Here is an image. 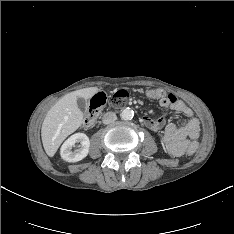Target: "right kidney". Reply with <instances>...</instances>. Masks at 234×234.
<instances>
[{
  "instance_id": "1",
  "label": "right kidney",
  "mask_w": 234,
  "mask_h": 234,
  "mask_svg": "<svg viewBox=\"0 0 234 234\" xmlns=\"http://www.w3.org/2000/svg\"><path fill=\"white\" fill-rule=\"evenodd\" d=\"M77 143H80L78 149L72 151ZM90 140L84 133H75L70 136L61 146L60 155L64 161L78 162L84 159L89 153Z\"/></svg>"
}]
</instances>
